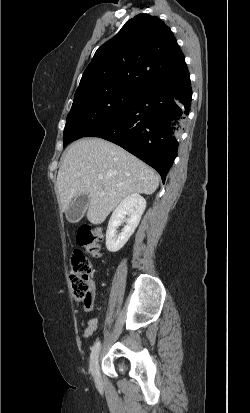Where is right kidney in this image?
Returning a JSON list of instances; mask_svg holds the SVG:
<instances>
[{
  "label": "right kidney",
  "instance_id": "right-kidney-1",
  "mask_svg": "<svg viewBox=\"0 0 250 413\" xmlns=\"http://www.w3.org/2000/svg\"><path fill=\"white\" fill-rule=\"evenodd\" d=\"M146 208V200L138 193L125 197L113 211L106 231V247L110 252L119 251L134 233ZM126 215L128 218L126 219ZM126 221L121 233L117 228Z\"/></svg>",
  "mask_w": 250,
  "mask_h": 413
}]
</instances>
